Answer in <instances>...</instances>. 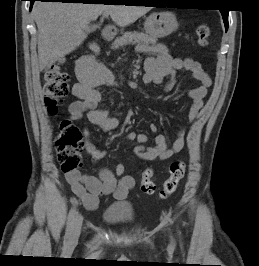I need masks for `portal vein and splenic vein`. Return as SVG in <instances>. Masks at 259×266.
<instances>
[{
	"label": "portal vein and splenic vein",
	"mask_w": 259,
	"mask_h": 266,
	"mask_svg": "<svg viewBox=\"0 0 259 266\" xmlns=\"http://www.w3.org/2000/svg\"><path fill=\"white\" fill-rule=\"evenodd\" d=\"M108 15H109V13H107V12L103 13V18L108 17Z\"/></svg>",
	"instance_id": "18ae733b"
}]
</instances>
